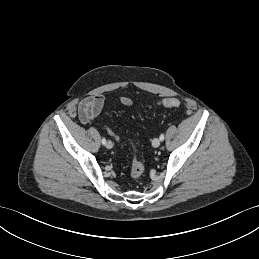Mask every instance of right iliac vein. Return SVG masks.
I'll list each match as a JSON object with an SVG mask.
<instances>
[{
	"label": "right iliac vein",
	"instance_id": "obj_1",
	"mask_svg": "<svg viewBox=\"0 0 259 259\" xmlns=\"http://www.w3.org/2000/svg\"><path fill=\"white\" fill-rule=\"evenodd\" d=\"M106 147H107L108 149H111V148L113 147V143H112L110 140L107 141Z\"/></svg>",
	"mask_w": 259,
	"mask_h": 259
}]
</instances>
